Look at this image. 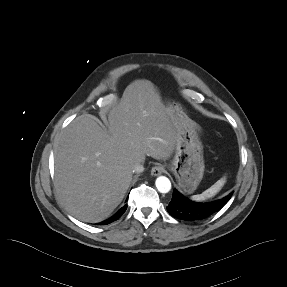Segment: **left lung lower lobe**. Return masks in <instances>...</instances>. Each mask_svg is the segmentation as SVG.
Masks as SVG:
<instances>
[{"instance_id": "left-lung-lower-lobe-1", "label": "left lung lower lobe", "mask_w": 287, "mask_h": 287, "mask_svg": "<svg viewBox=\"0 0 287 287\" xmlns=\"http://www.w3.org/2000/svg\"><path fill=\"white\" fill-rule=\"evenodd\" d=\"M231 196L232 193L214 202L197 203L188 200L174 189L172 200L167 206V211L177 219L186 221L201 220L221 209Z\"/></svg>"}]
</instances>
